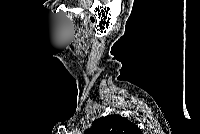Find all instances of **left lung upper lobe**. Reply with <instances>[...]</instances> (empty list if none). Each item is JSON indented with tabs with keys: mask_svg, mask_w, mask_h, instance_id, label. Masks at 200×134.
<instances>
[{
	"mask_svg": "<svg viewBox=\"0 0 200 134\" xmlns=\"http://www.w3.org/2000/svg\"><path fill=\"white\" fill-rule=\"evenodd\" d=\"M85 134H141V131L124 117L108 115L95 120Z\"/></svg>",
	"mask_w": 200,
	"mask_h": 134,
	"instance_id": "5c2ea615",
	"label": "left lung upper lobe"
}]
</instances>
